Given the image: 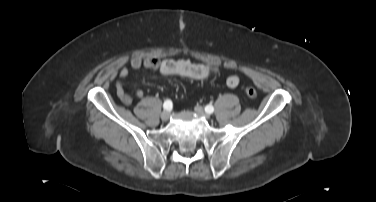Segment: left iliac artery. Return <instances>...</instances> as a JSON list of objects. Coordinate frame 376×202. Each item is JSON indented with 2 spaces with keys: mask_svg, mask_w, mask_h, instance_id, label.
Listing matches in <instances>:
<instances>
[{
  "mask_svg": "<svg viewBox=\"0 0 376 202\" xmlns=\"http://www.w3.org/2000/svg\"><path fill=\"white\" fill-rule=\"evenodd\" d=\"M205 111L209 114L213 113L214 112V107L212 105H207L205 107Z\"/></svg>",
  "mask_w": 376,
  "mask_h": 202,
  "instance_id": "obj_1",
  "label": "left iliac artery"
}]
</instances>
